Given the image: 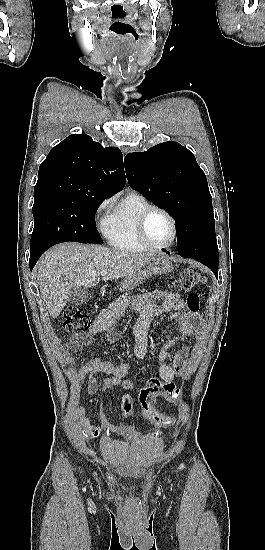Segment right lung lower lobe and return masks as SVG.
<instances>
[{
	"mask_svg": "<svg viewBox=\"0 0 265 550\" xmlns=\"http://www.w3.org/2000/svg\"><path fill=\"white\" fill-rule=\"evenodd\" d=\"M44 252H45V251H44ZM44 252L41 251V252H38V253H31V254H30V260H29L30 270L33 269V267L35 266L37 260L39 259V257H40Z\"/></svg>",
	"mask_w": 265,
	"mask_h": 550,
	"instance_id": "98d812e1",
	"label": "right lung lower lobe"
}]
</instances>
